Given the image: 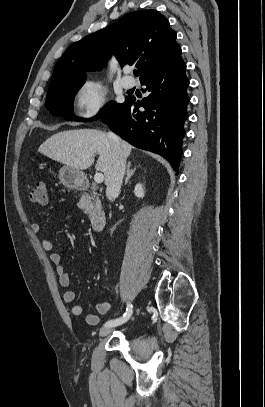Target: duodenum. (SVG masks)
Returning <instances> with one entry per match:
<instances>
[{"label": "duodenum", "mask_w": 265, "mask_h": 407, "mask_svg": "<svg viewBox=\"0 0 265 407\" xmlns=\"http://www.w3.org/2000/svg\"><path fill=\"white\" fill-rule=\"evenodd\" d=\"M88 187H89V184L87 182H83L80 185V188L82 190H86ZM89 217H90L91 226L94 231L100 232L104 229V227L106 225V215L103 210L98 209V208H93L90 211Z\"/></svg>", "instance_id": "duodenum-1"}]
</instances>
